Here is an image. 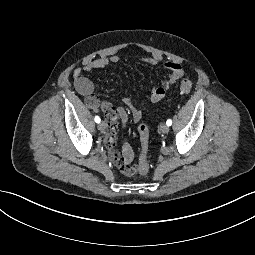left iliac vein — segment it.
<instances>
[{
  "label": "left iliac vein",
  "mask_w": 255,
  "mask_h": 255,
  "mask_svg": "<svg viewBox=\"0 0 255 255\" xmlns=\"http://www.w3.org/2000/svg\"><path fill=\"white\" fill-rule=\"evenodd\" d=\"M170 130L169 126L167 124H161L160 125V131L164 134L168 133Z\"/></svg>",
  "instance_id": "left-iliac-vein-1"
}]
</instances>
